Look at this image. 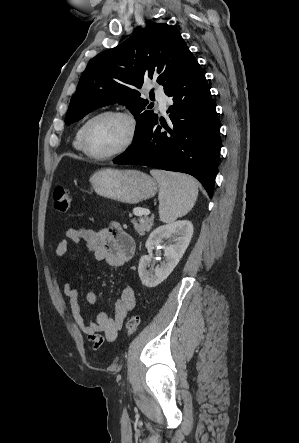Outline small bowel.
I'll list each match as a JSON object with an SVG mask.
<instances>
[{"mask_svg":"<svg viewBox=\"0 0 299 443\" xmlns=\"http://www.w3.org/2000/svg\"><path fill=\"white\" fill-rule=\"evenodd\" d=\"M83 242L92 253L96 262H105L113 268H120L128 262L135 253L133 238L118 223H112L105 230L86 228H69L65 232V239L56 247V256L63 257L69 250L70 243ZM63 292L68 298L72 317L77 326L87 335L94 350H100L105 342H112L117 338L118 332L128 312L135 307V292L132 287L126 286L114 302V313L109 315L106 311H99L94 322L87 323L82 315L78 292L70 282L63 284ZM86 302L90 305L97 303V295L88 291L85 295Z\"/></svg>","mask_w":299,"mask_h":443,"instance_id":"small-bowel-1","label":"small bowel"}]
</instances>
